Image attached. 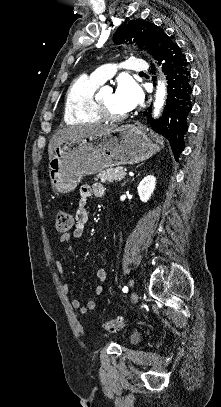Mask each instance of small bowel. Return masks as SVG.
I'll use <instances>...</instances> for the list:
<instances>
[{"label":"small bowel","mask_w":221,"mask_h":407,"mask_svg":"<svg viewBox=\"0 0 221 407\" xmlns=\"http://www.w3.org/2000/svg\"><path fill=\"white\" fill-rule=\"evenodd\" d=\"M92 194L98 198H103L105 196V189L101 184H94L92 186L84 185L80 188L77 209L73 218L72 231L71 233L60 235V243H70L72 240L78 239L83 235L88 222V202ZM68 249L74 257L78 256V249L76 247L69 245ZM56 266L59 273H62L61 262L58 261ZM96 278L99 283L96 284L94 291L96 295H101L104 291L103 283L107 280L106 270L104 268L97 269ZM64 291L66 293L69 292V287L66 283H64ZM71 306L80 313L85 314L96 307V302L89 300L86 304H82L78 298H73L71 300Z\"/></svg>","instance_id":"obj_1"}]
</instances>
